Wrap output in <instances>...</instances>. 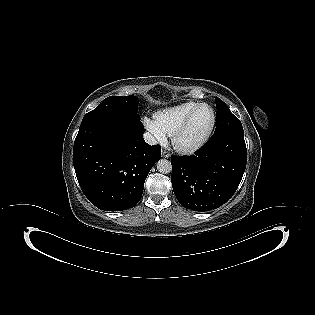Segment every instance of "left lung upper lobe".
I'll return each instance as SVG.
<instances>
[{
	"mask_svg": "<svg viewBox=\"0 0 315 315\" xmlns=\"http://www.w3.org/2000/svg\"><path fill=\"white\" fill-rule=\"evenodd\" d=\"M215 102L217 107V126L211 138L224 134L244 135L240 120L230 112L228 106L219 98H215Z\"/></svg>",
	"mask_w": 315,
	"mask_h": 315,
	"instance_id": "1",
	"label": "left lung upper lobe"
}]
</instances>
